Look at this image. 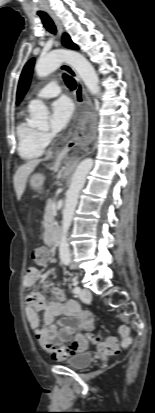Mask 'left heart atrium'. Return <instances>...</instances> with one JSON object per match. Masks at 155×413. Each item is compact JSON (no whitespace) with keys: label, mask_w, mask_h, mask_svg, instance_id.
Wrapping results in <instances>:
<instances>
[{"label":"left heart atrium","mask_w":155,"mask_h":413,"mask_svg":"<svg viewBox=\"0 0 155 413\" xmlns=\"http://www.w3.org/2000/svg\"><path fill=\"white\" fill-rule=\"evenodd\" d=\"M73 116V105L67 98H60L52 105L50 126L54 134L61 132Z\"/></svg>","instance_id":"39dd6f15"}]
</instances>
